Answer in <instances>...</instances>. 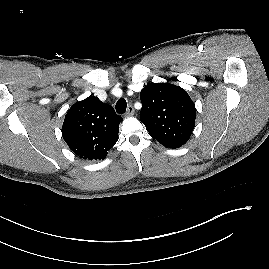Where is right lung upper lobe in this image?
I'll list each match as a JSON object with an SVG mask.
<instances>
[{
	"mask_svg": "<svg viewBox=\"0 0 269 269\" xmlns=\"http://www.w3.org/2000/svg\"><path fill=\"white\" fill-rule=\"evenodd\" d=\"M121 121L112 106L90 96L68 110L62 136L80 158L104 159L118 140Z\"/></svg>",
	"mask_w": 269,
	"mask_h": 269,
	"instance_id": "right-lung-upper-lobe-1",
	"label": "right lung upper lobe"
}]
</instances>
